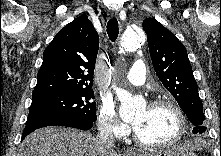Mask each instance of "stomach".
<instances>
[{"label": "stomach", "instance_id": "obj_1", "mask_svg": "<svg viewBox=\"0 0 221 156\" xmlns=\"http://www.w3.org/2000/svg\"><path fill=\"white\" fill-rule=\"evenodd\" d=\"M156 156H197L192 149H187L186 146H174L162 149Z\"/></svg>", "mask_w": 221, "mask_h": 156}]
</instances>
